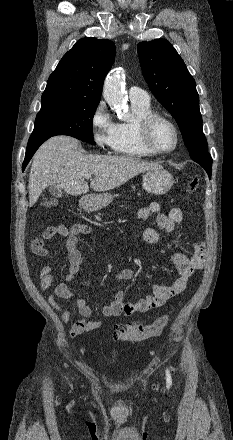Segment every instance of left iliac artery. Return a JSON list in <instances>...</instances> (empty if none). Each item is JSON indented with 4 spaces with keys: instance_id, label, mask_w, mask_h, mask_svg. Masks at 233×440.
I'll list each match as a JSON object with an SVG mask.
<instances>
[{
    "instance_id": "44dca946",
    "label": "left iliac artery",
    "mask_w": 233,
    "mask_h": 440,
    "mask_svg": "<svg viewBox=\"0 0 233 440\" xmlns=\"http://www.w3.org/2000/svg\"><path fill=\"white\" fill-rule=\"evenodd\" d=\"M166 381H167V386L172 385V378H171L170 371L168 369H166Z\"/></svg>"
}]
</instances>
